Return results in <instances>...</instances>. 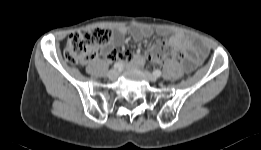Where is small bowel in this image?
Masks as SVG:
<instances>
[{"label": "small bowel", "mask_w": 261, "mask_h": 150, "mask_svg": "<svg viewBox=\"0 0 261 150\" xmlns=\"http://www.w3.org/2000/svg\"><path fill=\"white\" fill-rule=\"evenodd\" d=\"M127 32L128 29L126 27H119L115 30L111 47L106 49L107 56L111 61L121 59L135 67H140L145 62L142 55L120 51L117 48L123 43L124 36ZM130 34L134 42H140L141 40L150 37L152 35V30L148 27L135 26L130 29ZM170 41L176 48L186 53L183 65L187 71H191L206 55V48L201 42L189 39L184 35H174L171 37Z\"/></svg>", "instance_id": "obj_1"}]
</instances>
